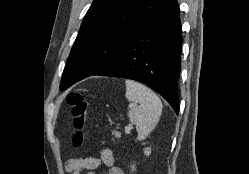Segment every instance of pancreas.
<instances>
[{
    "label": "pancreas",
    "mask_w": 249,
    "mask_h": 174,
    "mask_svg": "<svg viewBox=\"0 0 249 174\" xmlns=\"http://www.w3.org/2000/svg\"><path fill=\"white\" fill-rule=\"evenodd\" d=\"M113 134H114V136H115L116 138H120V137H121V133L118 132V131H114Z\"/></svg>",
    "instance_id": "1"
}]
</instances>
